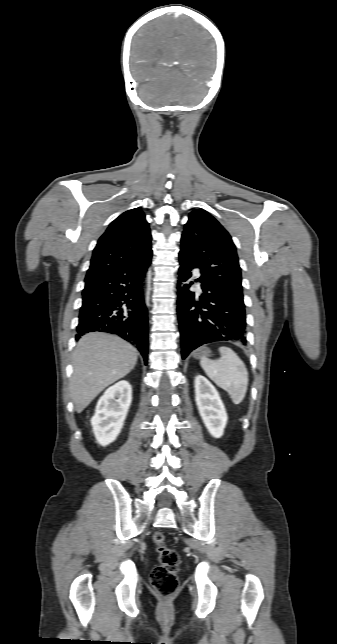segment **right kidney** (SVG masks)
Returning a JSON list of instances; mask_svg holds the SVG:
<instances>
[{"instance_id": "right-kidney-1", "label": "right kidney", "mask_w": 337, "mask_h": 644, "mask_svg": "<svg viewBox=\"0 0 337 644\" xmlns=\"http://www.w3.org/2000/svg\"><path fill=\"white\" fill-rule=\"evenodd\" d=\"M132 402V387L123 380L108 388L99 399L91 425L96 440L102 446L112 443L119 435Z\"/></svg>"}]
</instances>
